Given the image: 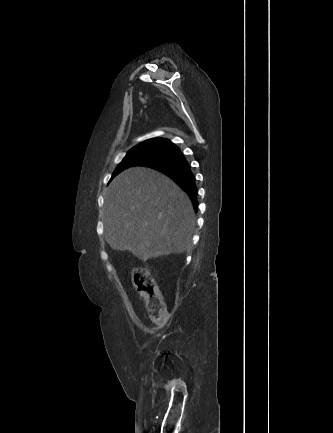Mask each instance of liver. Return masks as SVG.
<instances>
[{
  "mask_svg": "<svg viewBox=\"0 0 333 433\" xmlns=\"http://www.w3.org/2000/svg\"><path fill=\"white\" fill-rule=\"evenodd\" d=\"M102 217L113 250L138 259L180 254L188 248L194 210L188 195L153 169L131 167L110 183Z\"/></svg>",
  "mask_w": 333,
  "mask_h": 433,
  "instance_id": "6515ba94",
  "label": "liver"
}]
</instances>
